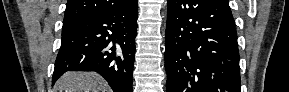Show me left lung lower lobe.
<instances>
[{
	"mask_svg": "<svg viewBox=\"0 0 289 92\" xmlns=\"http://www.w3.org/2000/svg\"><path fill=\"white\" fill-rule=\"evenodd\" d=\"M167 92H240L235 21L223 0H168Z\"/></svg>",
	"mask_w": 289,
	"mask_h": 92,
	"instance_id": "left-lung-lower-lobe-1",
	"label": "left lung lower lobe"
}]
</instances>
